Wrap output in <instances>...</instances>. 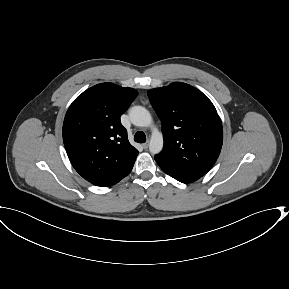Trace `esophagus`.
<instances>
[{"label": "esophagus", "instance_id": "34e87169", "mask_svg": "<svg viewBox=\"0 0 289 289\" xmlns=\"http://www.w3.org/2000/svg\"><path fill=\"white\" fill-rule=\"evenodd\" d=\"M149 147V142L147 141L146 143L143 144V148L147 149Z\"/></svg>", "mask_w": 289, "mask_h": 289}]
</instances>
